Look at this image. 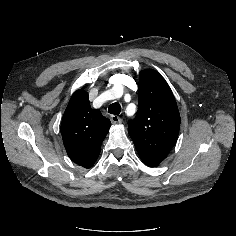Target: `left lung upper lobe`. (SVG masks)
<instances>
[{
	"mask_svg": "<svg viewBox=\"0 0 236 236\" xmlns=\"http://www.w3.org/2000/svg\"><path fill=\"white\" fill-rule=\"evenodd\" d=\"M137 117L128 133L140 157L163 161L177 141L180 114L173 93L155 70L140 73Z\"/></svg>",
	"mask_w": 236,
	"mask_h": 236,
	"instance_id": "1",
	"label": "left lung upper lobe"
}]
</instances>
